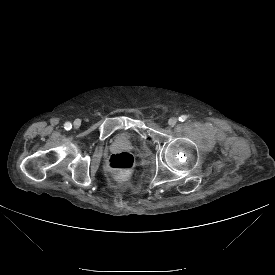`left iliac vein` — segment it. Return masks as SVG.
<instances>
[{
    "instance_id": "left-iliac-vein-1",
    "label": "left iliac vein",
    "mask_w": 275,
    "mask_h": 275,
    "mask_svg": "<svg viewBox=\"0 0 275 275\" xmlns=\"http://www.w3.org/2000/svg\"><path fill=\"white\" fill-rule=\"evenodd\" d=\"M176 123H177V118H175V117H171V118L168 120V124H169L170 126H174Z\"/></svg>"
}]
</instances>
